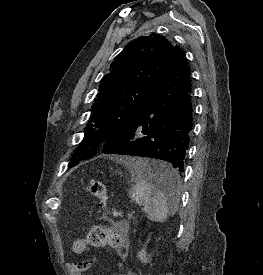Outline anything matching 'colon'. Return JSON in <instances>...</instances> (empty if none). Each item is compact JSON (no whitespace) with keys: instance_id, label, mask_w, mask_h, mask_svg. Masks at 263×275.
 I'll return each instance as SVG.
<instances>
[{"instance_id":"1","label":"colon","mask_w":263,"mask_h":275,"mask_svg":"<svg viewBox=\"0 0 263 275\" xmlns=\"http://www.w3.org/2000/svg\"><path fill=\"white\" fill-rule=\"evenodd\" d=\"M86 190L89 194L94 196L101 207H106L109 203V196L105 185L98 180H90ZM117 243V237L113 231L106 226L93 227L84 238L77 239L73 243V251L75 253H83L88 248L103 247L107 245L114 246ZM75 269L79 274H83L90 267L91 263L88 261H78L74 263ZM131 275L132 272H129Z\"/></svg>"}]
</instances>
